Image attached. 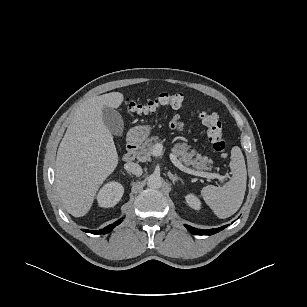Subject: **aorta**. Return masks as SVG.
Returning <instances> with one entry per match:
<instances>
[{
    "label": "aorta",
    "mask_w": 307,
    "mask_h": 307,
    "mask_svg": "<svg viewBox=\"0 0 307 307\" xmlns=\"http://www.w3.org/2000/svg\"><path fill=\"white\" fill-rule=\"evenodd\" d=\"M147 186L152 189H159L162 186V178L158 174H151L147 178Z\"/></svg>",
    "instance_id": "obj_1"
}]
</instances>
